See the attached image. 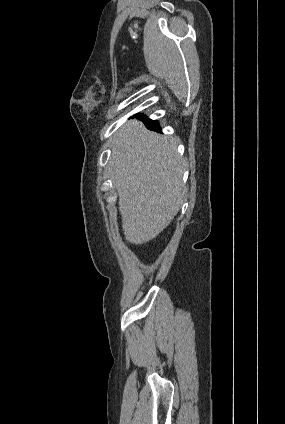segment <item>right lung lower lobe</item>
<instances>
[{"mask_svg": "<svg viewBox=\"0 0 285 424\" xmlns=\"http://www.w3.org/2000/svg\"><path fill=\"white\" fill-rule=\"evenodd\" d=\"M142 119L145 121V124H146L148 129L160 131V126H159L157 121H153V120L148 119L144 116L142 117Z\"/></svg>", "mask_w": 285, "mask_h": 424, "instance_id": "obj_1", "label": "right lung lower lobe"}]
</instances>
